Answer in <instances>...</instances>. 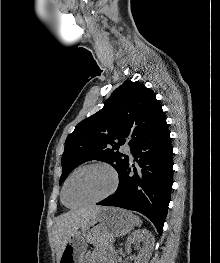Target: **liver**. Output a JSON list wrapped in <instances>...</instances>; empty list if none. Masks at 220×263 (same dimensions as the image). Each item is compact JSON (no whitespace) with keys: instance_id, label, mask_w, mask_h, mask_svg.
I'll return each instance as SVG.
<instances>
[{"instance_id":"1","label":"liver","mask_w":220,"mask_h":263,"mask_svg":"<svg viewBox=\"0 0 220 263\" xmlns=\"http://www.w3.org/2000/svg\"><path fill=\"white\" fill-rule=\"evenodd\" d=\"M102 208L101 206L82 207L71 210L57 218L53 228L57 261H59L62 251L72 234L87 224Z\"/></svg>"}]
</instances>
